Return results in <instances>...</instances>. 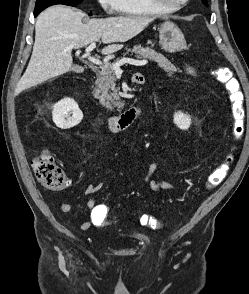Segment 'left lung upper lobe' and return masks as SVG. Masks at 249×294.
I'll use <instances>...</instances> for the list:
<instances>
[{
	"label": "left lung upper lobe",
	"instance_id": "left-lung-upper-lobe-1",
	"mask_svg": "<svg viewBox=\"0 0 249 294\" xmlns=\"http://www.w3.org/2000/svg\"><path fill=\"white\" fill-rule=\"evenodd\" d=\"M202 2L204 5H206V6L208 5L207 0H202Z\"/></svg>",
	"mask_w": 249,
	"mask_h": 294
}]
</instances>
